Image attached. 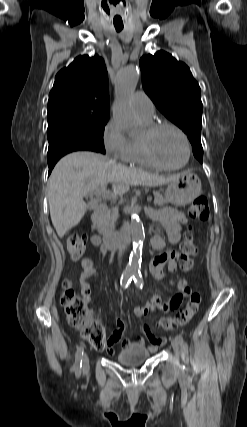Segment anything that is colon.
I'll return each instance as SVG.
<instances>
[{
    "instance_id": "5ec220e1",
    "label": "colon",
    "mask_w": 247,
    "mask_h": 427,
    "mask_svg": "<svg viewBox=\"0 0 247 427\" xmlns=\"http://www.w3.org/2000/svg\"><path fill=\"white\" fill-rule=\"evenodd\" d=\"M189 216L199 221H207L210 216L207 198L197 197L189 208ZM86 250V240L80 235H73L67 241V251L74 261L80 259ZM197 248L195 238L189 231L181 245L179 261L183 271H190L193 267L192 257ZM63 293L60 303L66 318L71 326L77 329L81 336L89 342L95 350H104L108 347L105 331L101 323L92 319L86 300L80 296L72 287L69 280L63 282ZM199 293H193L185 307L172 317L160 320V326L167 331L177 330L185 326L197 313L201 304Z\"/></svg>"
}]
</instances>
